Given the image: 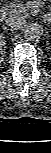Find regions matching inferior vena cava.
Wrapping results in <instances>:
<instances>
[{
  "label": "inferior vena cava",
  "mask_w": 51,
  "mask_h": 153,
  "mask_svg": "<svg viewBox=\"0 0 51 153\" xmlns=\"http://www.w3.org/2000/svg\"><path fill=\"white\" fill-rule=\"evenodd\" d=\"M26 20L21 16H11L6 20V24L12 28H21Z\"/></svg>",
  "instance_id": "1"
}]
</instances>
